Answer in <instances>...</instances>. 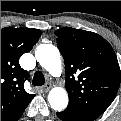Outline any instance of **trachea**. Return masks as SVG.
I'll return each instance as SVG.
<instances>
[{
	"label": "trachea",
	"instance_id": "trachea-1",
	"mask_svg": "<svg viewBox=\"0 0 121 121\" xmlns=\"http://www.w3.org/2000/svg\"><path fill=\"white\" fill-rule=\"evenodd\" d=\"M45 83V78L42 72L38 71L34 74L32 84L34 86H42Z\"/></svg>",
	"mask_w": 121,
	"mask_h": 121
}]
</instances>
